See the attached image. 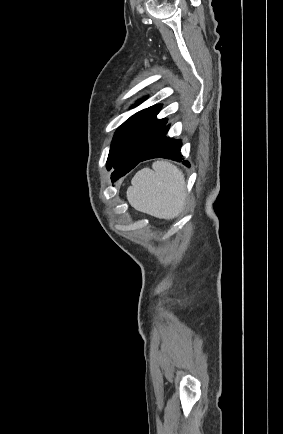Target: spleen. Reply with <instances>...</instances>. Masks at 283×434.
<instances>
[{"instance_id": "1", "label": "spleen", "mask_w": 283, "mask_h": 434, "mask_svg": "<svg viewBox=\"0 0 283 434\" xmlns=\"http://www.w3.org/2000/svg\"><path fill=\"white\" fill-rule=\"evenodd\" d=\"M133 177L127 199L138 211L161 219H173L183 210L186 192L181 170L167 161H156Z\"/></svg>"}]
</instances>
